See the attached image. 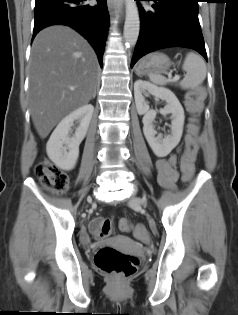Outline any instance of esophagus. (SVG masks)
Wrapping results in <instances>:
<instances>
[{
	"instance_id": "1",
	"label": "esophagus",
	"mask_w": 238,
	"mask_h": 315,
	"mask_svg": "<svg viewBox=\"0 0 238 315\" xmlns=\"http://www.w3.org/2000/svg\"><path fill=\"white\" fill-rule=\"evenodd\" d=\"M108 8L112 15H121L123 12V0H107Z\"/></svg>"
}]
</instances>
